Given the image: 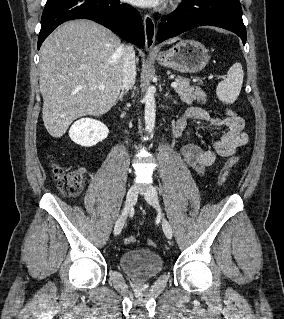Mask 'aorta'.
I'll use <instances>...</instances> for the list:
<instances>
[{
	"label": "aorta",
	"instance_id": "762f6f07",
	"mask_svg": "<svg viewBox=\"0 0 284 319\" xmlns=\"http://www.w3.org/2000/svg\"><path fill=\"white\" fill-rule=\"evenodd\" d=\"M145 102V127L149 133H152L155 128L156 118V102L154 97V88L148 87L144 95Z\"/></svg>",
	"mask_w": 284,
	"mask_h": 319
}]
</instances>
